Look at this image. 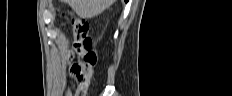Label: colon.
<instances>
[{
  "mask_svg": "<svg viewBox=\"0 0 232 96\" xmlns=\"http://www.w3.org/2000/svg\"><path fill=\"white\" fill-rule=\"evenodd\" d=\"M72 30L75 38L74 52L77 54L79 63L71 68L72 73L78 78V90L76 95H85L89 79L83 75L81 66H87L92 69L97 64L98 56L93 47V41L88 36L89 23L87 20L79 17L71 19Z\"/></svg>",
  "mask_w": 232,
  "mask_h": 96,
  "instance_id": "1",
  "label": "colon"
}]
</instances>
